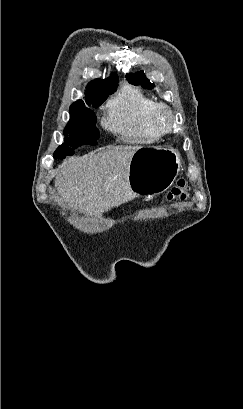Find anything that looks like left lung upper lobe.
<instances>
[{"instance_id":"1","label":"left lung upper lobe","mask_w":243,"mask_h":409,"mask_svg":"<svg viewBox=\"0 0 243 409\" xmlns=\"http://www.w3.org/2000/svg\"><path fill=\"white\" fill-rule=\"evenodd\" d=\"M126 77L128 78L127 80L133 84V85H139L142 84L147 88H153L154 84L151 83L144 75L143 72H138L136 74H127Z\"/></svg>"}]
</instances>
